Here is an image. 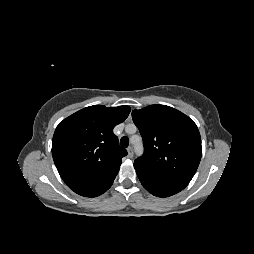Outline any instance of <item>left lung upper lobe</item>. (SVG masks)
Returning a JSON list of instances; mask_svg holds the SVG:
<instances>
[{
	"instance_id": "1",
	"label": "left lung upper lobe",
	"mask_w": 254,
	"mask_h": 254,
	"mask_svg": "<svg viewBox=\"0 0 254 254\" xmlns=\"http://www.w3.org/2000/svg\"><path fill=\"white\" fill-rule=\"evenodd\" d=\"M132 118L144 144V154L134 164L155 175L190 182L202 155L193 120L165 105L133 110Z\"/></svg>"
}]
</instances>
